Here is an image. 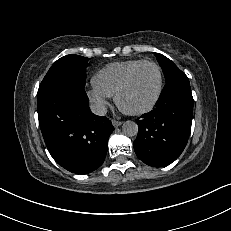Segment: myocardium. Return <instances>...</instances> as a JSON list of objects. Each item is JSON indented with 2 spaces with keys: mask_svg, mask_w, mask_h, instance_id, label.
I'll use <instances>...</instances> for the list:
<instances>
[{
  "mask_svg": "<svg viewBox=\"0 0 231 231\" xmlns=\"http://www.w3.org/2000/svg\"><path fill=\"white\" fill-rule=\"evenodd\" d=\"M144 65H152L156 68L157 70V74H158V85H157V90L156 93L153 97V99L150 101L149 104H147L146 106L137 109V110H129L127 108H125L122 103H121V97L124 93V91L128 88V86L130 85L132 78L134 76V74ZM163 72L162 69L160 67V65L158 63H156L155 61L152 60H143L140 63H138L136 66H134L125 76L124 80L122 81V83L120 84V86L118 87L116 93H115V102L116 105L118 106V108L130 115H142L145 114L149 111H151L155 105L158 103L161 94H162V90H163Z\"/></svg>",
  "mask_w": 231,
  "mask_h": 231,
  "instance_id": "f54148a6",
  "label": "myocardium"
}]
</instances>
